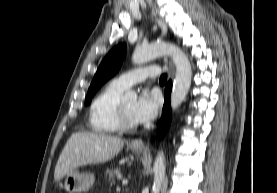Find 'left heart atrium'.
Instances as JSON below:
<instances>
[{"instance_id": "1", "label": "left heart atrium", "mask_w": 277, "mask_h": 193, "mask_svg": "<svg viewBox=\"0 0 277 193\" xmlns=\"http://www.w3.org/2000/svg\"><path fill=\"white\" fill-rule=\"evenodd\" d=\"M160 103L158 93L144 90L135 103L133 110L134 120L139 123L152 120L157 115Z\"/></svg>"}]
</instances>
